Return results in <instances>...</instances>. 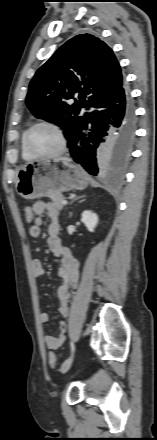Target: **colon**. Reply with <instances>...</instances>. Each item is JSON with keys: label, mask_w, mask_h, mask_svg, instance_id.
<instances>
[{"label": "colon", "mask_w": 157, "mask_h": 440, "mask_svg": "<svg viewBox=\"0 0 157 440\" xmlns=\"http://www.w3.org/2000/svg\"><path fill=\"white\" fill-rule=\"evenodd\" d=\"M23 213H24V217H25V220H26L27 223H33L34 222L35 214H34L33 209L30 206H25L24 210H23ZM48 361H49V365H50L51 368H55L56 367L57 358H56V355L53 352L49 353Z\"/></svg>", "instance_id": "1"}]
</instances>
